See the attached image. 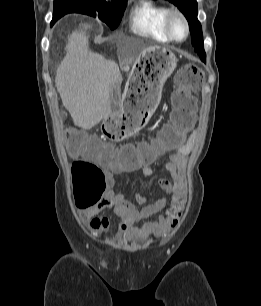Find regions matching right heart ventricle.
I'll use <instances>...</instances> for the list:
<instances>
[{
	"instance_id": "obj_1",
	"label": "right heart ventricle",
	"mask_w": 261,
	"mask_h": 306,
	"mask_svg": "<svg viewBox=\"0 0 261 306\" xmlns=\"http://www.w3.org/2000/svg\"><path fill=\"white\" fill-rule=\"evenodd\" d=\"M169 9L151 0H142L134 8L131 16L132 30L141 36L154 39L159 42H169L165 30V17Z\"/></svg>"
}]
</instances>
